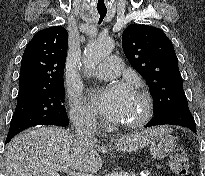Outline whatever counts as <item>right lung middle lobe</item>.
<instances>
[{"label":"right lung middle lobe","mask_w":205,"mask_h":176,"mask_svg":"<svg viewBox=\"0 0 205 176\" xmlns=\"http://www.w3.org/2000/svg\"><path fill=\"white\" fill-rule=\"evenodd\" d=\"M64 84L18 94L17 106L11 120L6 141L36 125L67 126L64 102Z\"/></svg>","instance_id":"right-lung-middle-lobe-1"}]
</instances>
